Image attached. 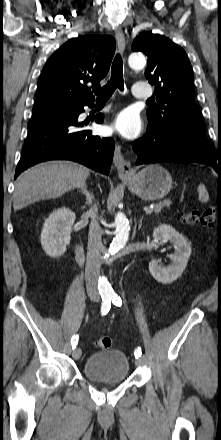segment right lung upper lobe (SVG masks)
<instances>
[{
  "label": "right lung upper lobe",
  "mask_w": 221,
  "mask_h": 440,
  "mask_svg": "<svg viewBox=\"0 0 221 440\" xmlns=\"http://www.w3.org/2000/svg\"><path fill=\"white\" fill-rule=\"evenodd\" d=\"M114 52L115 39L108 35H84L67 41L42 70L33 113L93 102L85 84L100 86Z\"/></svg>",
  "instance_id": "right-lung-upper-lobe-1"
}]
</instances>
